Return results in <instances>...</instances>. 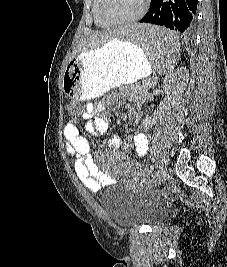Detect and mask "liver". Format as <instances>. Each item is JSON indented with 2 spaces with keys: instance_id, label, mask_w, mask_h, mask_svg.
Instances as JSON below:
<instances>
[{
  "instance_id": "obj_1",
  "label": "liver",
  "mask_w": 227,
  "mask_h": 267,
  "mask_svg": "<svg viewBox=\"0 0 227 267\" xmlns=\"http://www.w3.org/2000/svg\"><path fill=\"white\" fill-rule=\"evenodd\" d=\"M120 33H127V30H117V28H114L92 33V35L85 40L81 46L77 47L73 51L72 58L75 57L79 52H84L99 47L112 39L120 37Z\"/></svg>"
}]
</instances>
